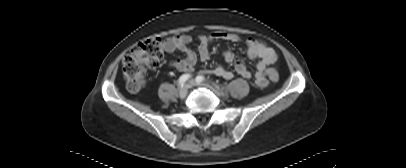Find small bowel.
<instances>
[{"label":"small bowel","mask_w":406,"mask_h":168,"mask_svg":"<svg viewBox=\"0 0 406 168\" xmlns=\"http://www.w3.org/2000/svg\"><path fill=\"white\" fill-rule=\"evenodd\" d=\"M199 48L198 52L203 60H207L210 56V43L214 40H223L230 43H238L240 37L234 33L228 32H215L210 35H199ZM192 42V37L187 34L177 35L169 37L164 42L166 52L173 53L176 51L182 52L185 55L183 59H177L171 63V65L180 72H188L194 69L197 61V55L194 50L189 47ZM247 55L250 59H259L256 63V72L254 75V85L258 88H265L268 85L267 76L269 74V68L276 63L277 55L273 48L267 45L265 42L249 38L246 41ZM223 59L226 63H233L235 56L231 51H225L223 53ZM235 71L245 79H251L252 74L246 65L242 61L235 63ZM209 74H213L224 79H231L233 73L221 66L207 71Z\"/></svg>","instance_id":"1"}]
</instances>
